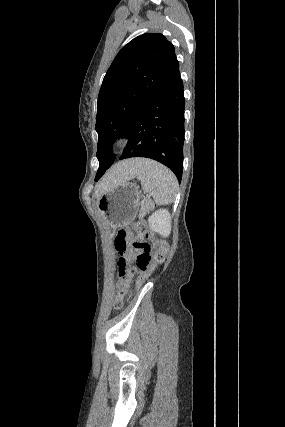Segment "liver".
Returning <instances> with one entry per match:
<instances>
[{
  "label": "liver",
  "mask_w": 285,
  "mask_h": 427,
  "mask_svg": "<svg viewBox=\"0 0 285 427\" xmlns=\"http://www.w3.org/2000/svg\"><path fill=\"white\" fill-rule=\"evenodd\" d=\"M144 159H130L119 162L111 167L97 186L96 195H101L115 184L128 181L135 177Z\"/></svg>",
  "instance_id": "1"
}]
</instances>
